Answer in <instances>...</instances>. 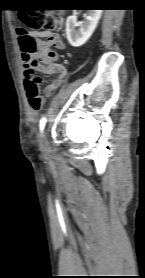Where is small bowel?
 I'll return each instance as SVG.
<instances>
[{"mask_svg":"<svg viewBox=\"0 0 145 278\" xmlns=\"http://www.w3.org/2000/svg\"><path fill=\"white\" fill-rule=\"evenodd\" d=\"M27 35L35 38L41 46L54 47L57 50H63L65 48V43L62 37L58 33L54 32H39L34 33L31 31L26 32ZM30 65V61L24 59V68L26 69ZM34 71L55 76L54 80L50 82L44 88V93L46 91H54L63 82L66 76V70L63 66L56 62H50L45 58L37 61L33 67Z\"/></svg>","mask_w":145,"mask_h":278,"instance_id":"c3829d8e","label":"small bowel"}]
</instances>
